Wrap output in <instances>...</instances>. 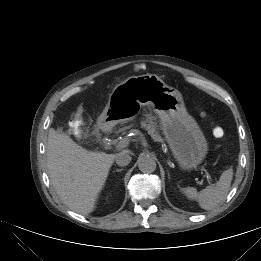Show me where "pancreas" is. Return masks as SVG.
I'll use <instances>...</instances> for the list:
<instances>
[{
  "label": "pancreas",
  "instance_id": "obj_1",
  "mask_svg": "<svg viewBox=\"0 0 261 261\" xmlns=\"http://www.w3.org/2000/svg\"><path fill=\"white\" fill-rule=\"evenodd\" d=\"M141 126L145 128L155 141L162 142L163 139L158 133L157 124L153 120H145L141 122Z\"/></svg>",
  "mask_w": 261,
  "mask_h": 261
}]
</instances>
